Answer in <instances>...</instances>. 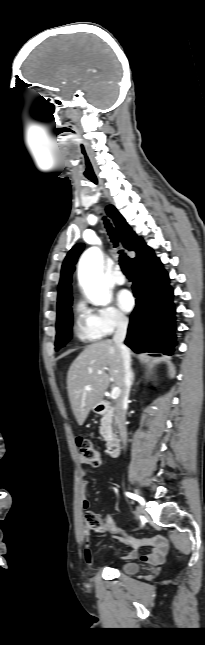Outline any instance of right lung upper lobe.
Wrapping results in <instances>:
<instances>
[{
  "mask_svg": "<svg viewBox=\"0 0 205 645\" xmlns=\"http://www.w3.org/2000/svg\"><path fill=\"white\" fill-rule=\"evenodd\" d=\"M107 214L113 219L120 239L125 246L130 251L136 252V257L133 258L132 262L134 265L148 260L154 256L153 250L148 247L143 239L137 236L131 229V227L126 223L125 219L119 214V212L112 206L109 205L106 208ZM84 245L82 243L76 244L67 254L61 270V279L58 287V302H57V314H60L64 309L71 306L72 297H71V275L74 271V264L77 261L78 256L83 250Z\"/></svg>",
  "mask_w": 205,
  "mask_h": 645,
  "instance_id": "obj_1",
  "label": "right lung upper lobe"
}]
</instances>
